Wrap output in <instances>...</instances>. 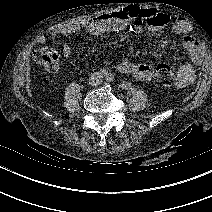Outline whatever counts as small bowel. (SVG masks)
<instances>
[{"label":"small bowel","mask_w":212,"mask_h":212,"mask_svg":"<svg viewBox=\"0 0 212 212\" xmlns=\"http://www.w3.org/2000/svg\"><path fill=\"white\" fill-rule=\"evenodd\" d=\"M132 24L135 31H141L144 23L152 28L163 29L170 25L171 30L184 35L181 37V47L190 56L192 63H182L177 71L176 86L184 87L190 84L195 78V69L193 66L201 61V51L198 42L190 35L185 34L188 30V24L183 18L171 20V18L155 8H140L137 5H127L117 10L105 12L96 18L72 21L54 26L47 35L38 38V43L45 45L48 40L65 36L69 34L85 31L91 35H102L107 32H119L124 30L129 24ZM62 55L64 58L73 62H81L82 59L75 57L70 44L64 41L62 44ZM119 71L130 74L138 80L149 81L153 77L152 68L143 63H134L123 61L118 66Z\"/></svg>","instance_id":"small-bowel-1"}]
</instances>
